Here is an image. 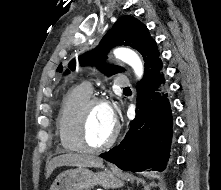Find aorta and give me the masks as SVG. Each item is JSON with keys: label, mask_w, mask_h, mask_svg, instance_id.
<instances>
[{"label": "aorta", "mask_w": 221, "mask_h": 190, "mask_svg": "<svg viewBox=\"0 0 221 190\" xmlns=\"http://www.w3.org/2000/svg\"><path fill=\"white\" fill-rule=\"evenodd\" d=\"M114 55L117 59L130 65L138 78L142 77L144 67L142 61L134 51L121 47L114 50Z\"/></svg>", "instance_id": "aorta-1"}]
</instances>
